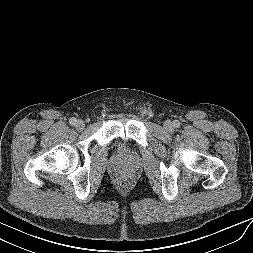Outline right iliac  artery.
Listing matches in <instances>:
<instances>
[{
    "mask_svg": "<svg viewBox=\"0 0 253 253\" xmlns=\"http://www.w3.org/2000/svg\"><path fill=\"white\" fill-rule=\"evenodd\" d=\"M76 122H77V120H76V118H71L70 120H69V123L71 124V125H75L76 124Z\"/></svg>",
    "mask_w": 253,
    "mask_h": 253,
    "instance_id": "82829eb1",
    "label": "right iliac artery"
}]
</instances>
